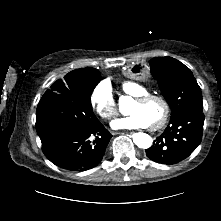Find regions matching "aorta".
<instances>
[{
    "label": "aorta",
    "mask_w": 221,
    "mask_h": 221,
    "mask_svg": "<svg viewBox=\"0 0 221 221\" xmlns=\"http://www.w3.org/2000/svg\"><path fill=\"white\" fill-rule=\"evenodd\" d=\"M123 103L120 101V107H122ZM133 142L139 147L143 149H147L151 147L153 139L150 135L146 133H135L133 135Z\"/></svg>",
    "instance_id": "762f6f07"
}]
</instances>
